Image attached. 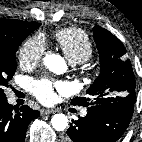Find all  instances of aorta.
<instances>
[{"label": "aorta", "instance_id": "obj_1", "mask_svg": "<svg viewBox=\"0 0 142 142\" xmlns=\"http://www.w3.org/2000/svg\"><path fill=\"white\" fill-rule=\"evenodd\" d=\"M44 64L50 71L56 74H62L67 69L64 59L60 55L53 53L45 55ZM51 124L56 131H63L68 126V118L62 113L55 114L51 119Z\"/></svg>", "mask_w": 142, "mask_h": 142}]
</instances>
